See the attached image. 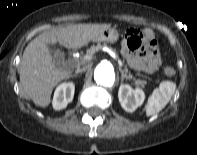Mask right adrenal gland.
I'll use <instances>...</instances> for the list:
<instances>
[{"label":"right adrenal gland","instance_id":"2a0ac1e0","mask_svg":"<svg viewBox=\"0 0 197 155\" xmlns=\"http://www.w3.org/2000/svg\"><path fill=\"white\" fill-rule=\"evenodd\" d=\"M71 77H77V74H74V75H70Z\"/></svg>","mask_w":197,"mask_h":155}]
</instances>
